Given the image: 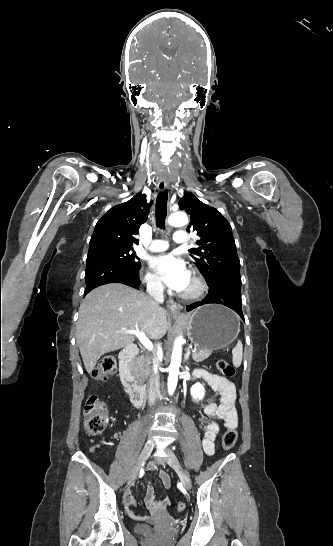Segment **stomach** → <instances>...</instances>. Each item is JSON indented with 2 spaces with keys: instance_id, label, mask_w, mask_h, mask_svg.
Segmentation results:
<instances>
[{
  "instance_id": "0dacf381",
  "label": "stomach",
  "mask_w": 333,
  "mask_h": 546,
  "mask_svg": "<svg viewBox=\"0 0 333 546\" xmlns=\"http://www.w3.org/2000/svg\"><path fill=\"white\" fill-rule=\"evenodd\" d=\"M239 323L233 311L218 304L195 310L188 321V336L199 349L219 350L238 335Z\"/></svg>"
}]
</instances>
